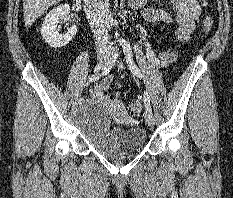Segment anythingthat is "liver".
Listing matches in <instances>:
<instances>
[{
    "instance_id": "6515ba94",
    "label": "liver",
    "mask_w": 233,
    "mask_h": 198,
    "mask_svg": "<svg viewBox=\"0 0 233 198\" xmlns=\"http://www.w3.org/2000/svg\"><path fill=\"white\" fill-rule=\"evenodd\" d=\"M62 0H24L23 13L26 28L39 18L49 7L61 2Z\"/></svg>"
}]
</instances>
